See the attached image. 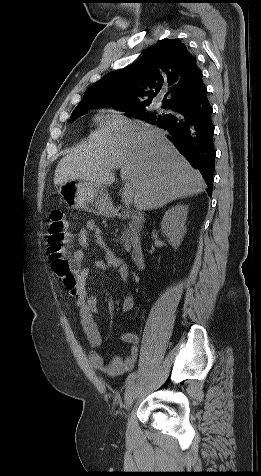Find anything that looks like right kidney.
I'll return each instance as SVG.
<instances>
[{
    "mask_svg": "<svg viewBox=\"0 0 261 476\" xmlns=\"http://www.w3.org/2000/svg\"><path fill=\"white\" fill-rule=\"evenodd\" d=\"M187 213L188 206L177 204L165 212L161 221L162 232L175 249L179 247L186 233Z\"/></svg>",
    "mask_w": 261,
    "mask_h": 476,
    "instance_id": "right-kidney-1",
    "label": "right kidney"
}]
</instances>
